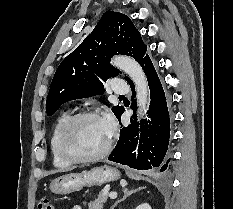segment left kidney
<instances>
[{
  "instance_id": "left-kidney-1",
  "label": "left kidney",
  "mask_w": 233,
  "mask_h": 209,
  "mask_svg": "<svg viewBox=\"0 0 233 209\" xmlns=\"http://www.w3.org/2000/svg\"><path fill=\"white\" fill-rule=\"evenodd\" d=\"M136 209H151V206L148 203L140 204Z\"/></svg>"
}]
</instances>
